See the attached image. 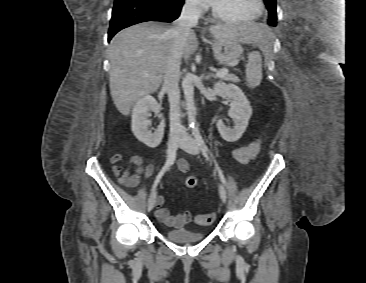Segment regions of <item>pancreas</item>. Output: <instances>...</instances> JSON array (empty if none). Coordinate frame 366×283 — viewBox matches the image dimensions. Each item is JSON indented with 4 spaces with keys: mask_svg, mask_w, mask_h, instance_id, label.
Masks as SVG:
<instances>
[{
    "mask_svg": "<svg viewBox=\"0 0 366 283\" xmlns=\"http://www.w3.org/2000/svg\"><path fill=\"white\" fill-rule=\"evenodd\" d=\"M222 79L226 80V81H232L235 83H238L240 80L238 79V77H236L233 74H227L224 77H222Z\"/></svg>",
    "mask_w": 366,
    "mask_h": 283,
    "instance_id": "pancreas-1",
    "label": "pancreas"
}]
</instances>
